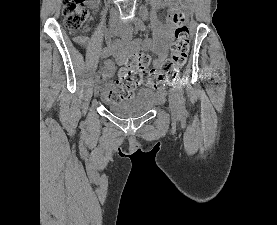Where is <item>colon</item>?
Segmentation results:
<instances>
[{
    "label": "colon",
    "mask_w": 277,
    "mask_h": 225,
    "mask_svg": "<svg viewBox=\"0 0 277 225\" xmlns=\"http://www.w3.org/2000/svg\"><path fill=\"white\" fill-rule=\"evenodd\" d=\"M180 3L181 0H176L172 17L175 30L170 58L161 64L159 70H150L151 57L148 54L134 53L125 56L117 80L106 91L105 97L108 102L116 103L131 99L143 75L148 72L153 76L152 83L156 88L171 83L178 77L180 69L187 61L190 47L186 15L181 10ZM62 6L65 26L71 31L82 28L88 19L85 0H62Z\"/></svg>",
    "instance_id": "5ec220e1"
}]
</instances>
